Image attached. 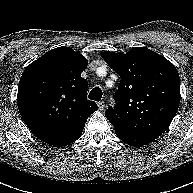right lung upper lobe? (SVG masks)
Wrapping results in <instances>:
<instances>
[{"label":"right lung upper lobe","mask_w":193,"mask_h":193,"mask_svg":"<svg viewBox=\"0 0 193 193\" xmlns=\"http://www.w3.org/2000/svg\"><path fill=\"white\" fill-rule=\"evenodd\" d=\"M87 60L69 47L53 49L32 62L18 86L19 112L41 141L53 145L82 134L98 106L87 99L88 82L80 74Z\"/></svg>","instance_id":"obj_1"}]
</instances>
